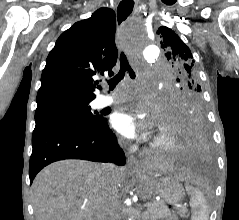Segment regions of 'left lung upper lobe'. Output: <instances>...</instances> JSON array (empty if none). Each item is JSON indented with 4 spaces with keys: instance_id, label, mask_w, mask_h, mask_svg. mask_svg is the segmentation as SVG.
<instances>
[{
    "instance_id": "left-lung-upper-lobe-1",
    "label": "left lung upper lobe",
    "mask_w": 239,
    "mask_h": 220,
    "mask_svg": "<svg viewBox=\"0 0 239 220\" xmlns=\"http://www.w3.org/2000/svg\"><path fill=\"white\" fill-rule=\"evenodd\" d=\"M157 35L173 71L167 101V109L171 117L174 118L185 108L203 107L202 89L190 49L166 26L158 28Z\"/></svg>"
}]
</instances>
